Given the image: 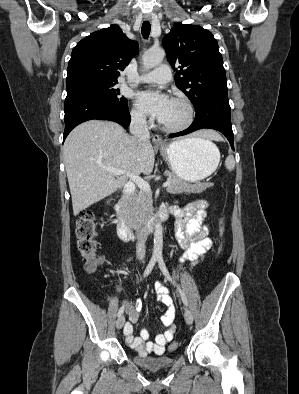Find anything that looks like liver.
Segmentation results:
<instances>
[{"label":"liver","instance_id":"obj_1","mask_svg":"<svg viewBox=\"0 0 299 394\" xmlns=\"http://www.w3.org/2000/svg\"><path fill=\"white\" fill-rule=\"evenodd\" d=\"M194 136L221 139L211 130ZM63 155L75 216L126 184L127 174L116 178L104 167L149 175L155 162L150 141L139 143L119 124L100 120H90L73 129L65 140Z\"/></svg>","mask_w":299,"mask_h":394}]
</instances>
